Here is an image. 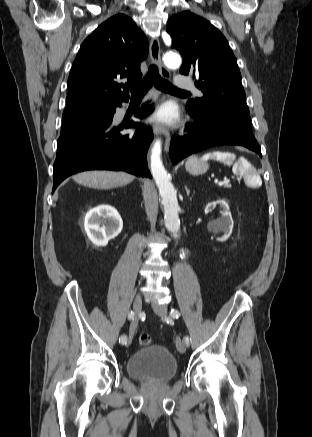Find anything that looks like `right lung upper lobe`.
<instances>
[{
	"label": "right lung upper lobe",
	"instance_id": "right-lung-upper-lobe-1",
	"mask_svg": "<svg viewBox=\"0 0 312 437\" xmlns=\"http://www.w3.org/2000/svg\"><path fill=\"white\" fill-rule=\"evenodd\" d=\"M147 54V38L130 17L109 18L80 47L68 78L65 110L114 107L128 100V87L141 79L139 66ZM123 78L128 82L120 83Z\"/></svg>",
	"mask_w": 312,
	"mask_h": 437
}]
</instances>
